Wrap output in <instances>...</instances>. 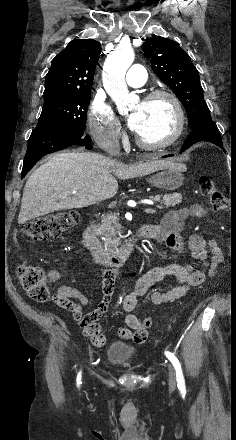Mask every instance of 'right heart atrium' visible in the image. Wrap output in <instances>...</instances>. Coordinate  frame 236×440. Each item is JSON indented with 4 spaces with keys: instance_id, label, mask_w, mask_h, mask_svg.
<instances>
[{
    "instance_id": "1",
    "label": "right heart atrium",
    "mask_w": 236,
    "mask_h": 440,
    "mask_svg": "<svg viewBox=\"0 0 236 440\" xmlns=\"http://www.w3.org/2000/svg\"><path fill=\"white\" fill-rule=\"evenodd\" d=\"M88 126L96 144L109 152L119 149L122 128L112 107L103 99L95 97L89 107Z\"/></svg>"
}]
</instances>
